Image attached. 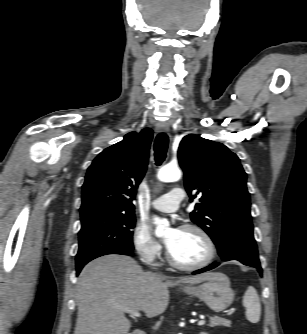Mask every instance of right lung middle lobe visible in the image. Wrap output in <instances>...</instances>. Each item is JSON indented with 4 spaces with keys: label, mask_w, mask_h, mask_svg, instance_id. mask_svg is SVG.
Here are the masks:
<instances>
[{
    "label": "right lung middle lobe",
    "mask_w": 307,
    "mask_h": 334,
    "mask_svg": "<svg viewBox=\"0 0 307 334\" xmlns=\"http://www.w3.org/2000/svg\"><path fill=\"white\" fill-rule=\"evenodd\" d=\"M79 250L76 267L106 254L133 252L131 229L135 227V216L99 213L81 217Z\"/></svg>",
    "instance_id": "dd1d6c3e"
}]
</instances>
